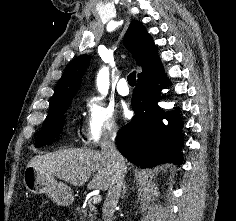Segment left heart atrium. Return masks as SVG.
Masks as SVG:
<instances>
[{
    "mask_svg": "<svg viewBox=\"0 0 236 221\" xmlns=\"http://www.w3.org/2000/svg\"><path fill=\"white\" fill-rule=\"evenodd\" d=\"M123 114H124L125 117H128V116H129L130 111H129V109H128L127 106H124V107H123Z\"/></svg>",
    "mask_w": 236,
    "mask_h": 221,
    "instance_id": "obj_1",
    "label": "left heart atrium"
}]
</instances>
